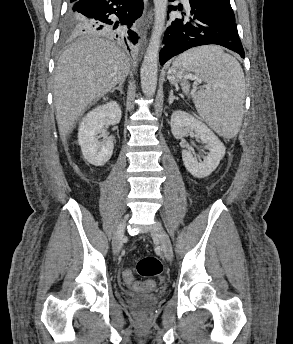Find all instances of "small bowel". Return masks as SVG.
<instances>
[{
  "label": "small bowel",
  "instance_id": "small-bowel-1",
  "mask_svg": "<svg viewBox=\"0 0 293 344\" xmlns=\"http://www.w3.org/2000/svg\"><path fill=\"white\" fill-rule=\"evenodd\" d=\"M128 284V283H127ZM145 283H134L133 285H130L128 284L129 286H131V288L134 290V291H137V292H144V288H143V285Z\"/></svg>",
  "mask_w": 293,
  "mask_h": 344
}]
</instances>
